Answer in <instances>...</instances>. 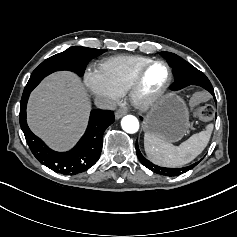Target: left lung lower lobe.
Instances as JSON below:
<instances>
[{
	"mask_svg": "<svg viewBox=\"0 0 237 237\" xmlns=\"http://www.w3.org/2000/svg\"><path fill=\"white\" fill-rule=\"evenodd\" d=\"M208 91L213 95L214 100L216 101V97L214 96V90H213V88H212V89H209Z\"/></svg>",
	"mask_w": 237,
	"mask_h": 237,
	"instance_id": "0a47b994",
	"label": "left lung lower lobe"
}]
</instances>
